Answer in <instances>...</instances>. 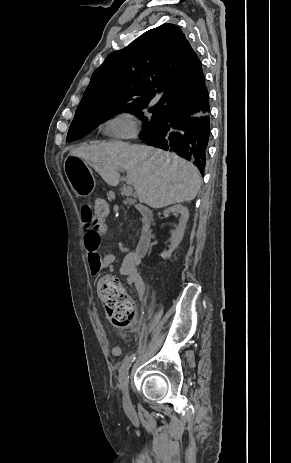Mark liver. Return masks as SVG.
<instances>
[{"mask_svg": "<svg viewBox=\"0 0 291 463\" xmlns=\"http://www.w3.org/2000/svg\"><path fill=\"white\" fill-rule=\"evenodd\" d=\"M69 155L83 159L110 186L119 184V171L125 170L140 203L155 209L189 202L200 189V173L192 163L154 147L102 142L82 145Z\"/></svg>", "mask_w": 291, "mask_h": 463, "instance_id": "liver-1", "label": "liver"}]
</instances>
